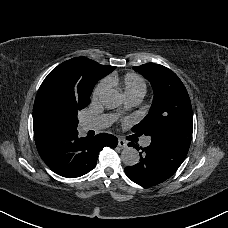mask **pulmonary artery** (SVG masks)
<instances>
[{
    "mask_svg": "<svg viewBox=\"0 0 228 228\" xmlns=\"http://www.w3.org/2000/svg\"><path fill=\"white\" fill-rule=\"evenodd\" d=\"M128 102L131 106H135L140 102V97L131 96L128 98ZM86 126L92 129H108L113 126V119L111 117H92L86 122Z\"/></svg>",
    "mask_w": 228,
    "mask_h": 228,
    "instance_id": "obj_1",
    "label": "pulmonary artery"
}]
</instances>
